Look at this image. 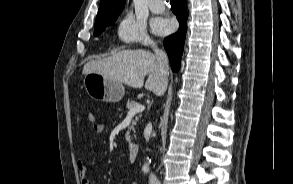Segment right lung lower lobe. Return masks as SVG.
Instances as JSON below:
<instances>
[{
  "instance_id": "98d812e1",
  "label": "right lung lower lobe",
  "mask_w": 293,
  "mask_h": 184,
  "mask_svg": "<svg viewBox=\"0 0 293 184\" xmlns=\"http://www.w3.org/2000/svg\"><path fill=\"white\" fill-rule=\"evenodd\" d=\"M171 9L177 15L180 27L176 33L165 38L164 47L168 54L171 68L176 72L180 69L187 30V0H171Z\"/></svg>"
}]
</instances>
